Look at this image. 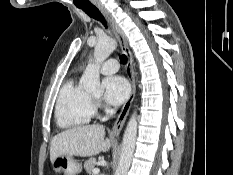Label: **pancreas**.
<instances>
[{
  "label": "pancreas",
  "mask_w": 233,
  "mask_h": 175,
  "mask_svg": "<svg viewBox=\"0 0 233 175\" xmlns=\"http://www.w3.org/2000/svg\"><path fill=\"white\" fill-rule=\"evenodd\" d=\"M96 164L97 162L95 158H89L85 161L84 168L89 175L93 174V170L95 169Z\"/></svg>",
  "instance_id": "1"
}]
</instances>
